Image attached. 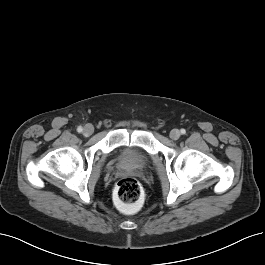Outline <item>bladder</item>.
Instances as JSON below:
<instances>
[{"label": "bladder", "mask_w": 265, "mask_h": 265, "mask_svg": "<svg viewBox=\"0 0 265 265\" xmlns=\"http://www.w3.org/2000/svg\"><path fill=\"white\" fill-rule=\"evenodd\" d=\"M118 159L121 163L129 166L143 167L149 162L150 157L144 150L124 148L119 152Z\"/></svg>", "instance_id": "31cf9c89"}]
</instances>
